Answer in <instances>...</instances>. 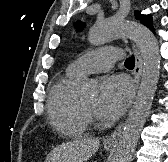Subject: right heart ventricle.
I'll return each instance as SVG.
<instances>
[{
    "label": "right heart ventricle",
    "mask_w": 168,
    "mask_h": 162,
    "mask_svg": "<svg viewBox=\"0 0 168 162\" xmlns=\"http://www.w3.org/2000/svg\"><path fill=\"white\" fill-rule=\"evenodd\" d=\"M78 76L70 69L57 76L47 101V113L52 126L59 133L70 137L81 136L88 131V117L75 94Z\"/></svg>",
    "instance_id": "obj_1"
}]
</instances>
